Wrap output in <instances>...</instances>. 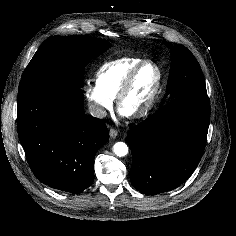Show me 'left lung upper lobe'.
<instances>
[{"instance_id":"5c2ea615","label":"left lung upper lobe","mask_w":236,"mask_h":236,"mask_svg":"<svg viewBox=\"0 0 236 236\" xmlns=\"http://www.w3.org/2000/svg\"><path fill=\"white\" fill-rule=\"evenodd\" d=\"M165 44L171 46L169 42ZM171 61L166 91L172 98L192 93H207L200 65L186 47L181 44L173 46Z\"/></svg>"}]
</instances>
